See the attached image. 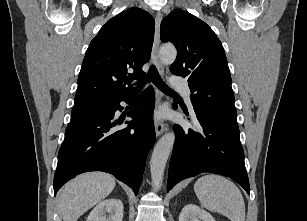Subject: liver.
<instances>
[{
	"instance_id": "1",
	"label": "liver",
	"mask_w": 307,
	"mask_h": 221,
	"mask_svg": "<svg viewBox=\"0 0 307 221\" xmlns=\"http://www.w3.org/2000/svg\"><path fill=\"white\" fill-rule=\"evenodd\" d=\"M115 188V178L104 172L84 173L69 181L58 197L63 221H77Z\"/></svg>"
}]
</instances>
